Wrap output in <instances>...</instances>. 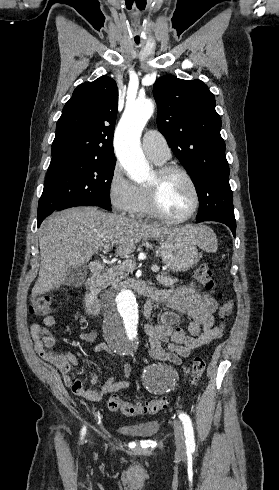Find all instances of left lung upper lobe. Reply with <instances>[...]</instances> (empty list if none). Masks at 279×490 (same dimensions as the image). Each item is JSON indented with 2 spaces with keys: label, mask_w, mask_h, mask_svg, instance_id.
Masks as SVG:
<instances>
[{
  "label": "left lung upper lobe",
  "mask_w": 279,
  "mask_h": 490,
  "mask_svg": "<svg viewBox=\"0 0 279 490\" xmlns=\"http://www.w3.org/2000/svg\"><path fill=\"white\" fill-rule=\"evenodd\" d=\"M153 95L157 124L173 153L192 178L199 197L197 222L212 218L235 222L225 143L215 98L200 80L160 77Z\"/></svg>",
  "instance_id": "obj_1"
}]
</instances>
